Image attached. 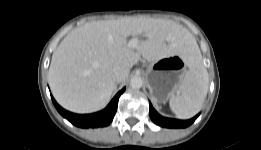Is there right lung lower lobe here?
Here are the masks:
<instances>
[{
  "label": "right lung lower lobe",
  "mask_w": 261,
  "mask_h": 150,
  "mask_svg": "<svg viewBox=\"0 0 261 150\" xmlns=\"http://www.w3.org/2000/svg\"><path fill=\"white\" fill-rule=\"evenodd\" d=\"M124 90L125 88L118 92L104 110L89 115H78L68 112L61 108L52 96L51 98L58 112L72 124L81 128H94L107 126L111 123L117 110L118 99Z\"/></svg>",
  "instance_id": "obj_1"
}]
</instances>
